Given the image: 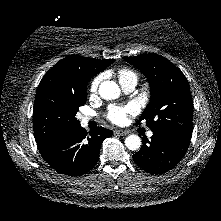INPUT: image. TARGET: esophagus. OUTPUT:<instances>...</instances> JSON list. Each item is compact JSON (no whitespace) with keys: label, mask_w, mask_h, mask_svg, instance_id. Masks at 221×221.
<instances>
[{"label":"esophagus","mask_w":221,"mask_h":221,"mask_svg":"<svg viewBox=\"0 0 221 221\" xmlns=\"http://www.w3.org/2000/svg\"><path fill=\"white\" fill-rule=\"evenodd\" d=\"M114 134L118 135V136H125V135H127V132L123 131V130H115Z\"/></svg>","instance_id":"obj_1"}]
</instances>
